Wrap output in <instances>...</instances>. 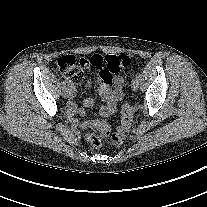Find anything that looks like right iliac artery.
<instances>
[{
	"instance_id": "82829eb1",
	"label": "right iliac artery",
	"mask_w": 207,
	"mask_h": 207,
	"mask_svg": "<svg viewBox=\"0 0 207 207\" xmlns=\"http://www.w3.org/2000/svg\"><path fill=\"white\" fill-rule=\"evenodd\" d=\"M66 87V84L64 82H62V88H65ZM71 87V86H69Z\"/></svg>"
}]
</instances>
